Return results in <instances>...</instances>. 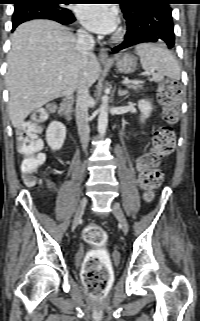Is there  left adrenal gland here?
Instances as JSON below:
<instances>
[{
    "label": "left adrenal gland",
    "instance_id": "obj_1",
    "mask_svg": "<svg viewBox=\"0 0 200 321\" xmlns=\"http://www.w3.org/2000/svg\"><path fill=\"white\" fill-rule=\"evenodd\" d=\"M127 93H128L127 90H121V89L118 90V95H119V96H124V95H126Z\"/></svg>",
    "mask_w": 200,
    "mask_h": 321
}]
</instances>
